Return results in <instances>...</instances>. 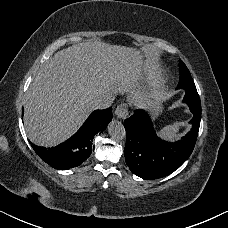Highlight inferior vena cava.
Returning <instances> with one entry per match:
<instances>
[{
	"label": "inferior vena cava",
	"mask_w": 228,
	"mask_h": 228,
	"mask_svg": "<svg viewBox=\"0 0 228 228\" xmlns=\"http://www.w3.org/2000/svg\"><path fill=\"white\" fill-rule=\"evenodd\" d=\"M89 96L91 98L93 110L108 108L112 105L115 99L112 93H105L99 96H95V94H91Z\"/></svg>",
	"instance_id": "602c4592"
}]
</instances>
